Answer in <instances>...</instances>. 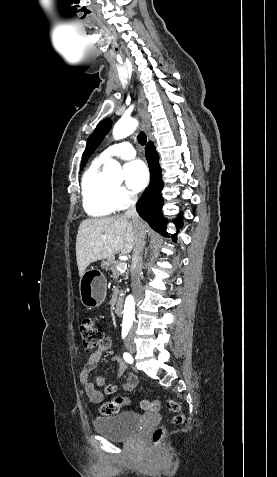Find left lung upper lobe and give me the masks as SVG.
<instances>
[{
	"instance_id": "obj_1",
	"label": "left lung upper lobe",
	"mask_w": 277,
	"mask_h": 477,
	"mask_svg": "<svg viewBox=\"0 0 277 477\" xmlns=\"http://www.w3.org/2000/svg\"><path fill=\"white\" fill-rule=\"evenodd\" d=\"M111 125L112 122L110 119H104L96 126L94 132L89 136L87 140L86 149L82 155V162L80 167L81 170L84 168L90 155L96 150L101 141L104 139V137L110 130Z\"/></svg>"
}]
</instances>
